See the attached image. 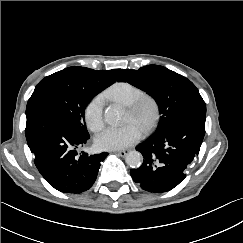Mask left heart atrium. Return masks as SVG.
<instances>
[{"label":"left heart atrium","mask_w":243,"mask_h":243,"mask_svg":"<svg viewBox=\"0 0 243 243\" xmlns=\"http://www.w3.org/2000/svg\"><path fill=\"white\" fill-rule=\"evenodd\" d=\"M142 138V129L130 122L122 127H109L96 138V145L102 150H120L134 145Z\"/></svg>","instance_id":"obj_1"}]
</instances>
